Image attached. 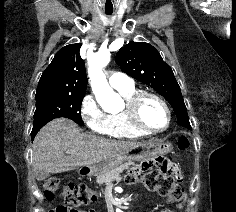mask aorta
I'll return each mask as SVG.
<instances>
[{
  "label": "aorta",
  "instance_id": "obj_1",
  "mask_svg": "<svg viewBox=\"0 0 236 212\" xmlns=\"http://www.w3.org/2000/svg\"><path fill=\"white\" fill-rule=\"evenodd\" d=\"M87 61L91 88L98 103L106 110L118 108L122 103V99L109 86L102 70L110 62V53L100 51L95 54H89Z\"/></svg>",
  "mask_w": 236,
  "mask_h": 212
}]
</instances>
